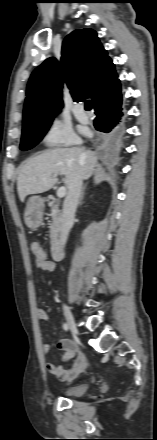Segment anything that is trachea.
<instances>
[{"label":"trachea","instance_id":"trachea-1","mask_svg":"<svg viewBox=\"0 0 157 440\" xmlns=\"http://www.w3.org/2000/svg\"><path fill=\"white\" fill-rule=\"evenodd\" d=\"M92 107H93L92 102H91L90 100L86 101V103H85V109H86L87 111H90V110L92 109Z\"/></svg>","mask_w":157,"mask_h":440}]
</instances>
